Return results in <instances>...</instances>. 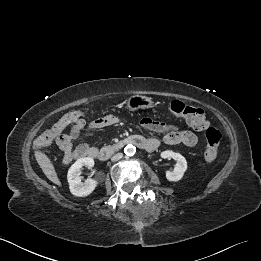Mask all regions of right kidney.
Masks as SVG:
<instances>
[{
	"instance_id": "ca27d5eb",
	"label": "right kidney",
	"mask_w": 261,
	"mask_h": 261,
	"mask_svg": "<svg viewBox=\"0 0 261 261\" xmlns=\"http://www.w3.org/2000/svg\"><path fill=\"white\" fill-rule=\"evenodd\" d=\"M83 166L92 168L94 166V160L90 157L78 159L70 167L67 174L70 192L78 197L90 195L98 185L97 181L91 178L87 179L84 183L81 181L80 173Z\"/></svg>"
}]
</instances>
